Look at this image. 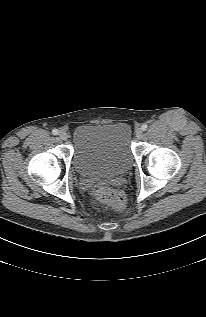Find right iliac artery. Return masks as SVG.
Here are the masks:
<instances>
[{
	"mask_svg": "<svg viewBox=\"0 0 206 317\" xmlns=\"http://www.w3.org/2000/svg\"><path fill=\"white\" fill-rule=\"evenodd\" d=\"M58 133H59L58 129H53V130H52V134H53V135H57Z\"/></svg>",
	"mask_w": 206,
	"mask_h": 317,
	"instance_id": "1",
	"label": "right iliac artery"
}]
</instances>
